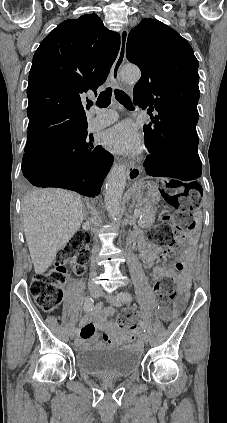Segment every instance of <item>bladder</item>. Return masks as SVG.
<instances>
[{"label":"bladder","instance_id":"31cf9c89","mask_svg":"<svg viewBox=\"0 0 227 423\" xmlns=\"http://www.w3.org/2000/svg\"><path fill=\"white\" fill-rule=\"evenodd\" d=\"M142 363V350L100 347L75 354L74 364L85 375L102 380L129 379Z\"/></svg>","mask_w":227,"mask_h":423}]
</instances>
